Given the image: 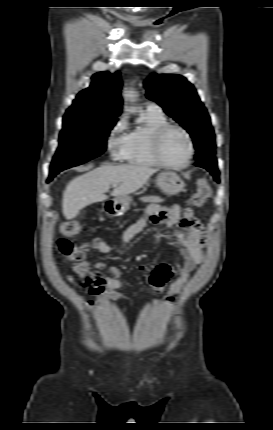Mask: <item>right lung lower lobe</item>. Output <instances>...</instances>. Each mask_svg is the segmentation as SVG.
<instances>
[{
	"instance_id": "right-lung-lower-lobe-1",
	"label": "right lung lower lobe",
	"mask_w": 273,
	"mask_h": 430,
	"mask_svg": "<svg viewBox=\"0 0 273 430\" xmlns=\"http://www.w3.org/2000/svg\"><path fill=\"white\" fill-rule=\"evenodd\" d=\"M54 176L50 175L49 178H48V180H47V182H49L50 180H52Z\"/></svg>"
}]
</instances>
